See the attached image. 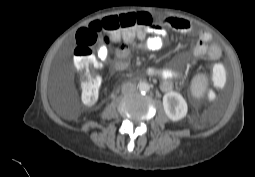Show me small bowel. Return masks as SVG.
<instances>
[{
  "label": "small bowel",
  "instance_id": "1",
  "mask_svg": "<svg viewBox=\"0 0 255 177\" xmlns=\"http://www.w3.org/2000/svg\"><path fill=\"white\" fill-rule=\"evenodd\" d=\"M170 27L180 33H197L198 39L190 46V51L196 58L208 57L211 61L217 62L221 56L220 48L211 41V34L204 29H197L190 21L180 17H161L157 23L150 28L139 33L131 39H126L125 43L120 45L114 54L113 67L116 71L124 70L128 66L130 56V47L139 42L149 51H159L164 46L166 37V28ZM110 50L108 46H100L97 51L95 64L107 61ZM147 73L151 76L160 77L161 89L169 91L173 88V79H180L182 74L172 68L155 69L150 68Z\"/></svg>",
  "mask_w": 255,
  "mask_h": 177
}]
</instances>
